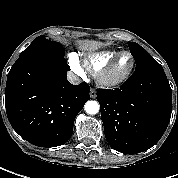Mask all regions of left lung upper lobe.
<instances>
[{"label": "left lung upper lobe", "instance_id": "left-lung-upper-lobe-1", "mask_svg": "<svg viewBox=\"0 0 178 178\" xmlns=\"http://www.w3.org/2000/svg\"><path fill=\"white\" fill-rule=\"evenodd\" d=\"M130 52L135 59V73L161 66L143 47L135 42H128Z\"/></svg>", "mask_w": 178, "mask_h": 178}]
</instances>
